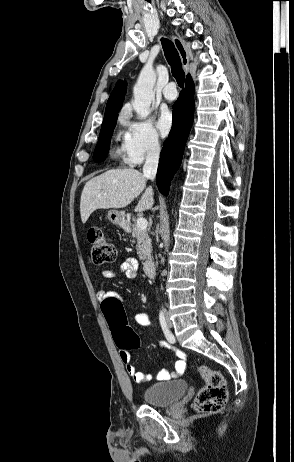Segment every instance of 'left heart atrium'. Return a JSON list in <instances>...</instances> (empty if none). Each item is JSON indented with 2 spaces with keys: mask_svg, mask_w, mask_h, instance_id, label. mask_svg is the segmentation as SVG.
I'll return each instance as SVG.
<instances>
[{
  "mask_svg": "<svg viewBox=\"0 0 294 462\" xmlns=\"http://www.w3.org/2000/svg\"><path fill=\"white\" fill-rule=\"evenodd\" d=\"M173 126V117L169 111H162L157 120V128L162 136L168 135Z\"/></svg>",
  "mask_w": 294,
  "mask_h": 462,
  "instance_id": "left-heart-atrium-1",
  "label": "left heart atrium"
}]
</instances>
